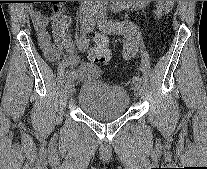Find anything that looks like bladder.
I'll return each mask as SVG.
<instances>
[{"label": "bladder", "mask_w": 207, "mask_h": 169, "mask_svg": "<svg viewBox=\"0 0 207 169\" xmlns=\"http://www.w3.org/2000/svg\"><path fill=\"white\" fill-rule=\"evenodd\" d=\"M77 104L89 118L109 121L126 114L130 105V96L121 85L95 79L80 87Z\"/></svg>", "instance_id": "obj_1"}]
</instances>
